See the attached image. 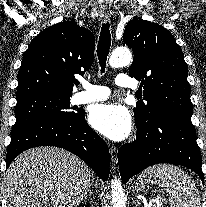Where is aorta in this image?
Listing matches in <instances>:
<instances>
[{
  "label": "aorta",
  "instance_id": "762f6f07",
  "mask_svg": "<svg viewBox=\"0 0 206 207\" xmlns=\"http://www.w3.org/2000/svg\"><path fill=\"white\" fill-rule=\"evenodd\" d=\"M132 61V54L129 49L125 47L113 50L109 64L113 68L123 67L129 65ZM112 207H126V197L122 188L121 181L115 178L112 181Z\"/></svg>",
  "mask_w": 206,
  "mask_h": 207
}]
</instances>
